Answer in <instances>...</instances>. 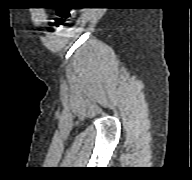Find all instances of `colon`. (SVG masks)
Wrapping results in <instances>:
<instances>
[{"mask_svg": "<svg viewBox=\"0 0 192 180\" xmlns=\"http://www.w3.org/2000/svg\"><path fill=\"white\" fill-rule=\"evenodd\" d=\"M75 16L73 9H59L56 14V23L64 25L70 23Z\"/></svg>", "mask_w": 192, "mask_h": 180, "instance_id": "colon-1", "label": "colon"}]
</instances>
